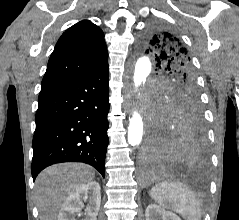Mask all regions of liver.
I'll use <instances>...</instances> for the list:
<instances>
[{"instance_id":"liver-1","label":"liver","mask_w":239,"mask_h":220,"mask_svg":"<svg viewBox=\"0 0 239 220\" xmlns=\"http://www.w3.org/2000/svg\"><path fill=\"white\" fill-rule=\"evenodd\" d=\"M94 177V170L80 163L57 164L43 170L35 183L40 220H56L67 197Z\"/></svg>"}]
</instances>
